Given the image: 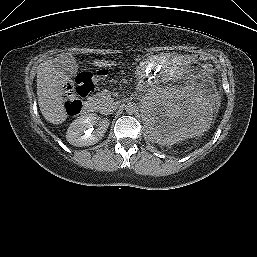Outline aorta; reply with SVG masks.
I'll use <instances>...</instances> for the list:
<instances>
[{
	"instance_id": "obj_1",
	"label": "aorta",
	"mask_w": 257,
	"mask_h": 257,
	"mask_svg": "<svg viewBox=\"0 0 257 257\" xmlns=\"http://www.w3.org/2000/svg\"><path fill=\"white\" fill-rule=\"evenodd\" d=\"M125 110L128 114H134L138 111V107L134 102H128L125 106Z\"/></svg>"
}]
</instances>
